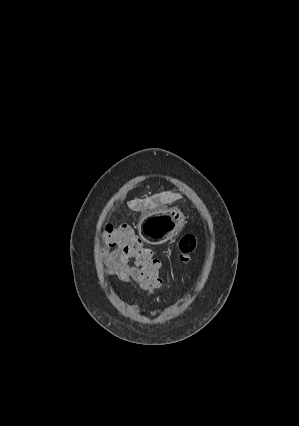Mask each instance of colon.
Returning <instances> with one entry per match:
<instances>
[{
	"mask_svg": "<svg viewBox=\"0 0 299 426\" xmlns=\"http://www.w3.org/2000/svg\"><path fill=\"white\" fill-rule=\"evenodd\" d=\"M103 240L106 248L121 249L141 271L139 287L149 297L156 295L162 284L159 275L160 260L154 256L151 248L144 245L133 229L127 225L107 224L103 228ZM197 248V239L193 234H185L179 242V258L188 264Z\"/></svg>",
	"mask_w": 299,
	"mask_h": 426,
	"instance_id": "1",
	"label": "colon"
}]
</instances>
